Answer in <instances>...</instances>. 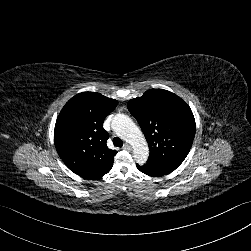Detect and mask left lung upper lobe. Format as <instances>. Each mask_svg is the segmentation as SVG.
Returning <instances> with one entry per match:
<instances>
[{
    "label": "left lung upper lobe",
    "instance_id": "left-lung-upper-lobe-1",
    "mask_svg": "<svg viewBox=\"0 0 251 251\" xmlns=\"http://www.w3.org/2000/svg\"><path fill=\"white\" fill-rule=\"evenodd\" d=\"M128 110L137 119L150 147L148 160L180 166L195 136L189 106L174 93L151 89L131 99Z\"/></svg>",
    "mask_w": 251,
    "mask_h": 251
}]
</instances>
